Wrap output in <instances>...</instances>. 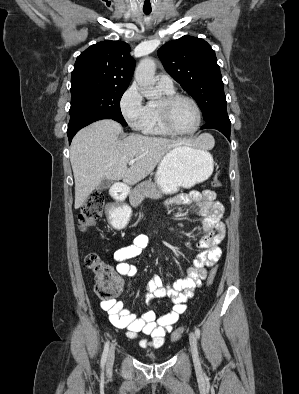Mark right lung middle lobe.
<instances>
[{
	"instance_id": "right-lung-middle-lobe-1",
	"label": "right lung middle lobe",
	"mask_w": 299,
	"mask_h": 394,
	"mask_svg": "<svg viewBox=\"0 0 299 394\" xmlns=\"http://www.w3.org/2000/svg\"><path fill=\"white\" fill-rule=\"evenodd\" d=\"M127 87L88 84L71 87L70 118L78 115H106L123 125L120 100Z\"/></svg>"
}]
</instances>
